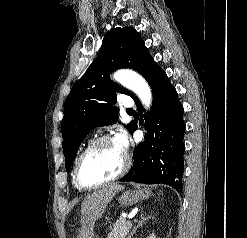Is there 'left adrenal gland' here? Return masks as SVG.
<instances>
[{"mask_svg": "<svg viewBox=\"0 0 247 238\" xmlns=\"http://www.w3.org/2000/svg\"><path fill=\"white\" fill-rule=\"evenodd\" d=\"M140 218H141V220L139 221V223L137 224V226L134 227V229L132 230V232L130 233V235H129L128 238H131V237L136 233L137 229H138L139 227H141L143 224H145V222H146L148 219H150L151 216H146V217H145L144 214L142 213V214L140 215Z\"/></svg>", "mask_w": 247, "mask_h": 238, "instance_id": "obj_1", "label": "left adrenal gland"}]
</instances>
